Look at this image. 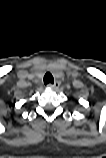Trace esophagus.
<instances>
[{"mask_svg":"<svg viewBox=\"0 0 106 158\" xmlns=\"http://www.w3.org/2000/svg\"><path fill=\"white\" fill-rule=\"evenodd\" d=\"M59 85H60L59 82L55 81L54 83H49L47 86L49 88H57Z\"/></svg>","mask_w":106,"mask_h":158,"instance_id":"esophagus-1","label":"esophagus"}]
</instances>
